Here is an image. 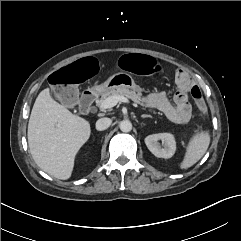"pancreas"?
Listing matches in <instances>:
<instances>
[{
	"label": "pancreas",
	"instance_id": "obj_1",
	"mask_svg": "<svg viewBox=\"0 0 241 241\" xmlns=\"http://www.w3.org/2000/svg\"><path fill=\"white\" fill-rule=\"evenodd\" d=\"M112 96H124V97H127V98L133 100L135 103H138L141 106H143V109H145V107H146L144 105L145 98L142 97V94L140 92H135L133 90H130L126 87L116 88V89L104 92L102 94L101 98L96 101L97 106L100 107V105L102 104L103 101H105L107 98L112 97ZM150 112H152L153 114H157L156 111L150 110Z\"/></svg>",
	"mask_w": 241,
	"mask_h": 241
}]
</instances>
